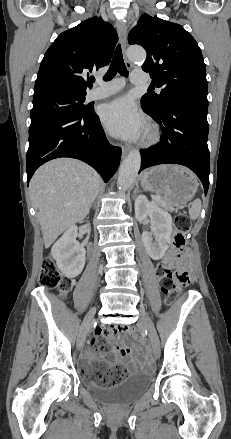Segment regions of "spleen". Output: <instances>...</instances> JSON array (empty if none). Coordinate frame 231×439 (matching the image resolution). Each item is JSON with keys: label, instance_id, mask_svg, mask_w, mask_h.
<instances>
[{"label": "spleen", "instance_id": "obj_1", "mask_svg": "<svg viewBox=\"0 0 231 439\" xmlns=\"http://www.w3.org/2000/svg\"><path fill=\"white\" fill-rule=\"evenodd\" d=\"M201 211V201L200 199H196L193 201L191 208L189 209V216L192 220L198 218Z\"/></svg>", "mask_w": 231, "mask_h": 439}]
</instances>
